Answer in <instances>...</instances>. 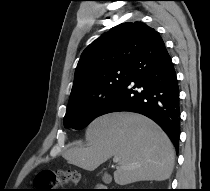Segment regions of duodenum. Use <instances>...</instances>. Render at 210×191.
I'll return each mask as SVG.
<instances>
[{
  "mask_svg": "<svg viewBox=\"0 0 210 191\" xmlns=\"http://www.w3.org/2000/svg\"><path fill=\"white\" fill-rule=\"evenodd\" d=\"M101 191H109V190L106 189V190H101Z\"/></svg>",
  "mask_w": 210,
  "mask_h": 191,
  "instance_id": "obj_1",
  "label": "duodenum"
}]
</instances>
